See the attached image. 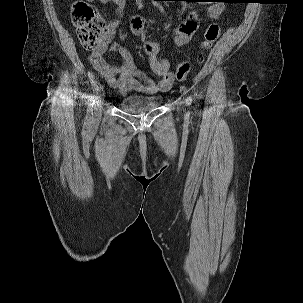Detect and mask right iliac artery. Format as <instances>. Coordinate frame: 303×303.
I'll return each instance as SVG.
<instances>
[{
  "instance_id": "82829eb1",
  "label": "right iliac artery",
  "mask_w": 303,
  "mask_h": 303,
  "mask_svg": "<svg viewBox=\"0 0 303 303\" xmlns=\"http://www.w3.org/2000/svg\"><path fill=\"white\" fill-rule=\"evenodd\" d=\"M102 86L95 82L94 88H93V94L89 96L88 99V108H87V114H86V122L89 123L92 119V111H93V105L95 103L96 98L98 97L99 93L101 92Z\"/></svg>"
}]
</instances>
